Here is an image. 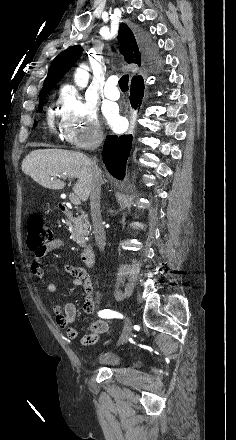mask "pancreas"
Here are the masks:
<instances>
[{
    "label": "pancreas",
    "mask_w": 236,
    "mask_h": 440,
    "mask_svg": "<svg viewBox=\"0 0 236 440\" xmlns=\"http://www.w3.org/2000/svg\"><path fill=\"white\" fill-rule=\"evenodd\" d=\"M89 227V221L85 215L73 218L69 222L72 239L81 247H84L86 244Z\"/></svg>",
    "instance_id": "cf45deb5"
}]
</instances>
